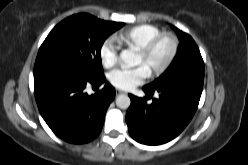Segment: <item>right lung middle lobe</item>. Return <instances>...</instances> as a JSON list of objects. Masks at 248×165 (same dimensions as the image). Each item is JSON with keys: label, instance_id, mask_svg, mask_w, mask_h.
Masks as SVG:
<instances>
[{"label": "right lung middle lobe", "instance_id": "1", "mask_svg": "<svg viewBox=\"0 0 248 165\" xmlns=\"http://www.w3.org/2000/svg\"><path fill=\"white\" fill-rule=\"evenodd\" d=\"M124 23L107 22L89 14L72 15L56 25L42 43L34 75L59 67L96 79L104 75L100 50L104 40Z\"/></svg>", "mask_w": 248, "mask_h": 165}]
</instances>
